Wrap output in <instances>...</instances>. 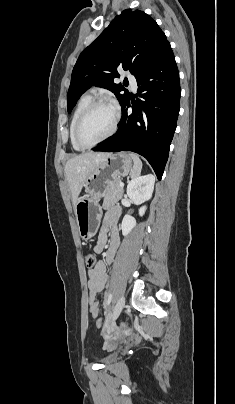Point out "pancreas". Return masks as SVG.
Wrapping results in <instances>:
<instances>
[{
	"label": "pancreas",
	"mask_w": 235,
	"mask_h": 404,
	"mask_svg": "<svg viewBox=\"0 0 235 404\" xmlns=\"http://www.w3.org/2000/svg\"><path fill=\"white\" fill-rule=\"evenodd\" d=\"M121 180H113L110 182L104 191L103 206L107 207L119 201L123 195V188L120 187Z\"/></svg>",
	"instance_id": "obj_1"
}]
</instances>
